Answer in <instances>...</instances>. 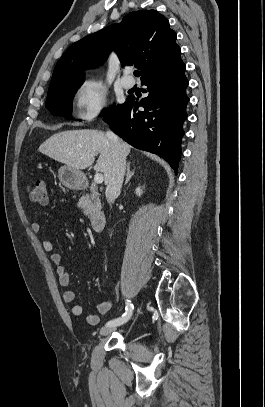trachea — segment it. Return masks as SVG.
<instances>
[{
    "instance_id": "obj_1",
    "label": "trachea",
    "mask_w": 265,
    "mask_h": 407,
    "mask_svg": "<svg viewBox=\"0 0 265 407\" xmlns=\"http://www.w3.org/2000/svg\"><path fill=\"white\" fill-rule=\"evenodd\" d=\"M140 74H141V72H140V71H135V72H134V75H135L136 77H139V76H140Z\"/></svg>"
}]
</instances>
